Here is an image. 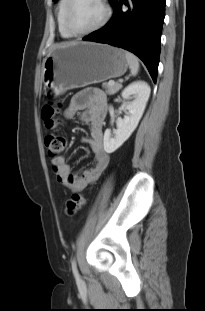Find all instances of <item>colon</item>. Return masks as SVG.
<instances>
[{
  "instance_id": "1",
  "label": "colon",
  "mask_w": 205,
  "mask_h": 311,
  "mask_svg": "<svg viewBox=\"0 0 205 311\" xmlns=\"http://www.w3.org/2000/svg\"><path fill=\"white\" fill-rule=\"evenodd\" d=\"M41 118L47 129L55 131L61 124L60 104L55 101L45 103L41 108ZM45 146L48 156L56 158L66 148L67 140L63 135L50 133L45 137ZM85 197L82 193H73L66 202V212L69 216H75L84 206Z\"/></svg>"
}]
</instances>
